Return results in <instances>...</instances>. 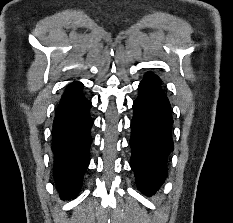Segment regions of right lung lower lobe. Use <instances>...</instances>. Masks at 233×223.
I'll return each mask as SVG.
<instances>
[{
  "mask_svg": "<svg viewBox=\"0 0 233 223\" xmlns=\"http://www.w3.org/2000/svg\"><path fill=\"white\" fill-rule=\"evenodd\" d=\"M82 88L79 82L66 87L53 123L54 178L63 199L78 194L89 164L93 125L89 110L92 105Z\"/></svg>",
  "mask_w": 233,
  "mask_h": 223,
  "instance_id": "obj_1",
  "label": "right lung lower lobe"
}]
</instances>
